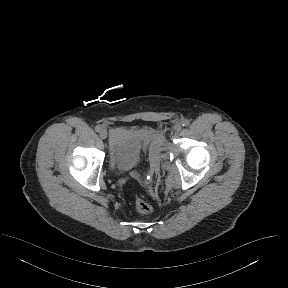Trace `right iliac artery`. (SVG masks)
<instances>
[{
	"label": "right iliac artery",
	"mask_w": 288,
	"mask_h": 288,
	"mask_svg": "<svg viewBox=\"0 0 288 288\" xmlns=\"http://www.w3.org/2000/svg\"><path fill=\"white\" fill-rule=\"evenodd\" d=\"M96 132H100L102 130V127L100 125H97L95 127Z\"/></svg>",
	"instance_id": "right-iliac-artery-1"
}]
</instances>
